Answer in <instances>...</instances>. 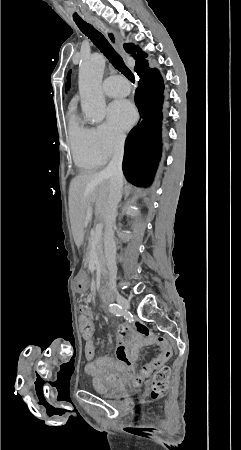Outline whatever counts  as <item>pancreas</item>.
<instances>
[{"label":"pancreas","instance_id":"pancreas-1","mask_svg":"<svg viewBox=\"0 0 241 450\" xmlns=\"http://www.w3.org/2000/svg\"><path fill=\"white\" fill-rule=\"evenodd\" d=\"M93 236H90V244H94L95 252L97 254L98 262L101 266V272L104 280H106V268H105V258L103 254V242L102 238H99V240H91ZM88 250H92V246H89Z\"/></svg>","mask_w":241,"mask_h":450}]
</instances>
